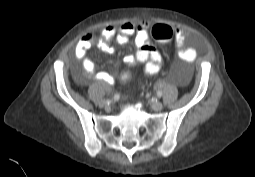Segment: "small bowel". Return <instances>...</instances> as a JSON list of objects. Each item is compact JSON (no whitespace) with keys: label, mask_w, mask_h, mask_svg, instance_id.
I'll return each instance as SVG.
<instances>
[{"label":"small bowel","mask_w":255,"mask_h":177,"mask_svg":"<svg viewBox=\"0 0 255 177\" xmlns=\"http://www.w3.org/2000/svg\"><path fill=\"white\" fill-rule=\"evenodd\" d=\"M150 27V21L139 20L137 22H124L119 26L118 30L114 26L108 25L100 33L94 32L85 35L78 41L74 49L75 59L81 64L84 75L107 85L114 84L116 81L115 77L107 72L98 71L94 61L88 56V51L94 44H97L102 51L111 54L114 50L109 40L115 38L119 44L123 45L132 36H134L137 50L134 54L126 55L124 63L127 66L144 63L145 74H157L162 67V58L160 53L150 44ZM188 36L189 32L186 29L177 27L175 29V42L177 46H181ZM178 57L182 62L191 64L196 58V52L193 49H180ZM75 77L79 83H82V79L77 71H75Z\"/></svg>","instance_id":"small-bowel-1"}]
</instances>
